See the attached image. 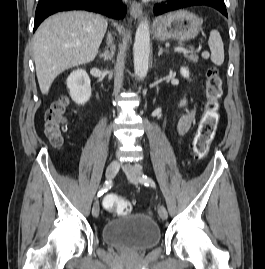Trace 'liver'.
<instances>
[{
  "mask_svg": "<svg viewBox=\"0 0 265 269\" xmlns=\"http://www.w3.org/2000/svg\"><path fill=\"white\" fill-rule=\"evenodd\" d=\"M101 15L62 12L47 18L34 35V61L40 90L47 94L63 71L94 60L107 29Z\"/></svg>",
  "mask_w": 265,
  "mask_h": 269,
  "instance_id": "obj_1",
  "label": "liver"
}]
</instances>
